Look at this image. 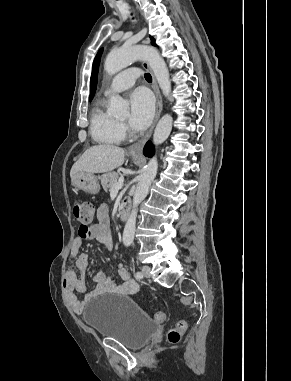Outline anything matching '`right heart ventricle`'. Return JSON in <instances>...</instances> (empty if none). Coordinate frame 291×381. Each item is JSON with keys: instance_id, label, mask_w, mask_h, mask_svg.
I'll return each instance as SVG.
<instances>
[{"instance_id": "1", "label": "right heart ventricle", "mask_w": 291, "mask_h": 381, "mask_svg": "<svg viewBox=\"0 0 291 381\" xmlns=\"http://www.w3.org/2000/svg\"><path fill=\"white\" fill-rule=\"evenodd\" d=\"M90 134L96 143L102 145L119 144L124 139L121 125L106 112L103 101L97 102L91 110Z\"/></svg>"}]
</instances>
